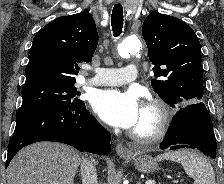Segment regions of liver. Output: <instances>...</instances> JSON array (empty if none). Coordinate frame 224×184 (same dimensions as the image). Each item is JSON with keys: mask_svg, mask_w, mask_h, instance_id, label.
Returning a JSON list of instances; mask_svg holds the SVG:
<instances>
[{"mask_svg": "<svg viewBox=\"0 0 224 184\" xmlns=\"http://www.w3.org/2000/svg\"><path fill=\"white\" fill-rule=\"evenodd\" d=\"M80 153L64 144L38 142L20 150L7 169V184H74Z\"/></svg>", "mask_w": 224, "mask_h": 184, "instance_id": "6515ba94", "label": "liver"}]
</instances>
